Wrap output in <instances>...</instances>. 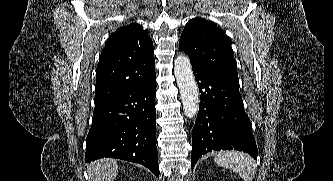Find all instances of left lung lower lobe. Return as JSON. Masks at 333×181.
<instances>
[{
  "label": "left lung lower lobe",
  "mask_w": 333,
  "mask_h": 181,
  "mask_svg": "<svg viewBox=\"0 0 333 181\" xmlns=\"http://www.w3.org/2000/svg\"><path fill=\"white\" fill-rule=\"evenodd\" d=\"M201 92L193 127L191 165L214 150H238L258 155L250 119L244 111L239 86L220 76L192 66Z\"/></svg>",
  "instance_id": "left-lung-lower-lobe-1"
}]
</instances>
